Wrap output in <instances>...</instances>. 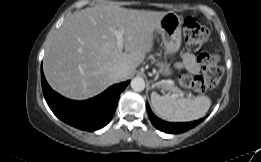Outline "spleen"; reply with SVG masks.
Instances as JSON below:
<instances>
[{"instance_id": "1", "label": "spleen", "mask_w": 261, "mask_h": 162, "mask_svg": "<svg viewBox=\"0 0 261 162\" xmlns=\"http://www.w3.org/2000/svg\"><path fill=\"white\" fill-rule=\"evenodd\" d=\"M151 102L156 113L171 122H186L203 117L211 106L209 97L199 95L195 98H172L151 94Z\"/></svg>"}]
</instances>
